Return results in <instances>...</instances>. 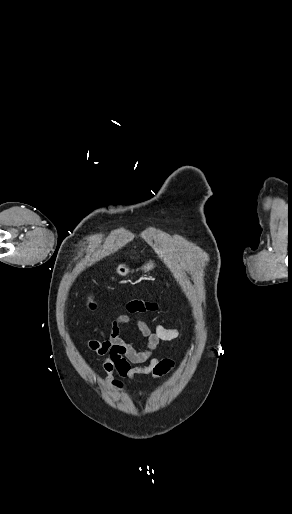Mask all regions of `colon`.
Here are the masks:
<instances>
[{
	"label": "colon",
	"instance_id": "5ec220e1",
	"mask_svg": "<svg viewBox=\"0 0 292 514\" xmlns=\"http://www.w3.org/2000/svg\"><path fill=\"white\" fill-rule=\"evenodd\" d=\"M129 313H149L157 310V303L147 299L133 298L126 304Z\"/></svg>",
	"mask_w": 292,
	"mask_h": 514
}]
</instances>
